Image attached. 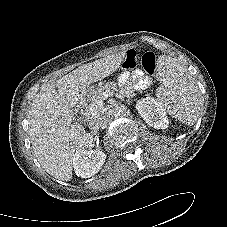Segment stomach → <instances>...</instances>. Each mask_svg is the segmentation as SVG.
Masks as SVG:
<instances>
[{
  "label": "stomach",
  "instance_id": "obj_1",
  "mask_svg": "<svg viewBox=\"0 0 227 227\" xmlns=\"http://www.w3.org/2000/svg\"><path fill=\"white\" fill-rule=\"evenodd\" d=\"M91 88L90 87H87L83 92H82V96L83 97H88V93H89V90H90Z\"/></svg>",
  "mask_w": 227,
  "mask_h": 227
}]
</instances>
